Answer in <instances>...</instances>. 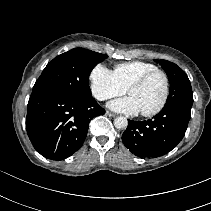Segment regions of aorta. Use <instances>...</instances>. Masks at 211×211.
Listing matches in <instances>:
<instances>
[{
    "label": "aorta",
    "instance_id": "obj_1",
    "mask_svg": "<svg viewBox=\"0 0 211 211\" xmlns=\"http://www.w3.org/2000/svg\"><path fill=\"white\" fill-rule=\"evenodd\" d=\"M127 125H128V121L123 116H119V117L115 118V120H114V126L117 129H124L127 127Z\"/></svg>",
    "mask_w": 211,
    "mask_h": 211
}]
</instances>
